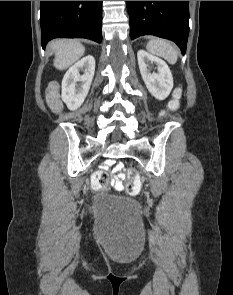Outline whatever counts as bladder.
Returning a JSON list of instances; mask_svg holds the SVG:
<instances>
[{"label": "bladder", "instance_id": "1", "mask_svg": "<svg viewBox=\"0 0 233 295\" xmlns=\"http://www.w3.org/2000/svg\"><path fill=\"white\" fill-rule=\"evenodd\" d=\"M93 208L102 221H136V203L129 198L99 192L93 199Z\"/></svg>", "mask_w": 233, "mask_h": 295}]
</instances>
